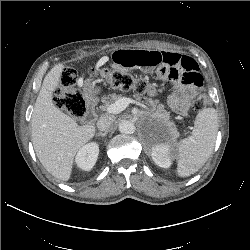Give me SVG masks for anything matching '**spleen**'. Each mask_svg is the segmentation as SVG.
I'll return each instance as SVG.
<instances>
[{
  "label": "spleen",
  "mask_w": 250,
  "mask_h": 250,
  "mask_svg": "<svg viewBox=\"0 0 250 250\" xmlns=\"http://www.w3.org/2000/svg\"><path fill=\"white\" fill-rule=\"evenodd\" d=\"M217 131V111L214 108L201 110L192 134L178 144L176 160L180 177H188L202 168L214 149Z\"/></svg>",
  "instance_id": "obj_1"
}]
</instances>
